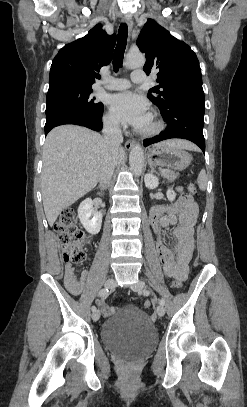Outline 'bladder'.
<instances>
[{
  "instance_id": "obj_1",
  "label": "bladder",
  "mask_w": 247,
  "mask_h": 407,
  "mask_svg": "<svg viewBox=\"0 0 247 407\" xmlns=\"http://www.w3.org/2000/svg\"><path fill=\"white\" fill-rule=\"evenodd\" d=\"M101 339L103 345L117 356L139 360L155 348L158 333L144 311L126 305L115 309L105 320Z\"/></svg>"
}]
</instances>
